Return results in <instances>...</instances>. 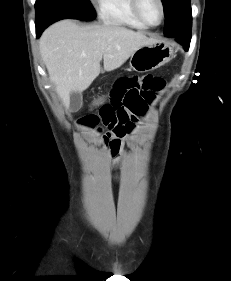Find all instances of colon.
Here are the masks:
<instances>
[{"mask_svg": "<svg viewBox=\"0 0 231 281\" xmlns=\"http://www.w3.org/2000/svg\"><path fill=\"white\" fill-rule=\"evenodd\" d=\"M105 102V98L104 97H98L94 100V105H102Z\"/></svg>", "mask_w": 231, "mask_h": 281, "instance_id": "obj_1", "label": "colon"}]
</instances>
